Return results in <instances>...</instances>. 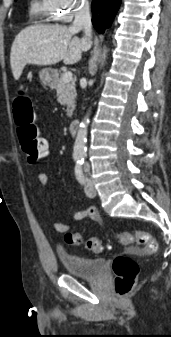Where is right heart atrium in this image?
Wrapping results in <instances>:
<instances>
[{"label":"right heart atrium","instance_id":"1","mask_svg":"<svg viewBox=\"0 0 171 337\" xmlns=\"http://www.w3.org/2000/svg\"><path fill=\"white\" fill-rule=\"evenodd\" d=\"M52 18L59 22H70L73 17L83 12L87 0H47Z\"/></svg>","mask_w":171,"mask_h":337}]
</instances>
